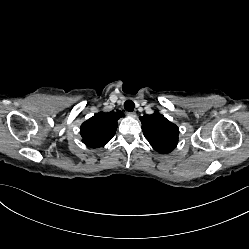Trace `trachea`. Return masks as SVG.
<instances>
[{
    "mask_svg": "<svg viewBox=\"0 0 249 249\" xmlns=\"http://www.w3.org/2000/svg\"><path fill=\"white\" fill-rule=\"evenodd\" d=\"M134 102L131 101V100H127L125 103H124V108L125 110L129 111V112H132L134 110Z\"/></svg>",
    "mask_w": 249,
    "mask_h": 249,
    "instance_id": "1",
    "label": "trachea"
}]
</instances>
